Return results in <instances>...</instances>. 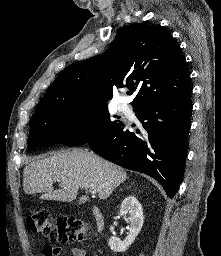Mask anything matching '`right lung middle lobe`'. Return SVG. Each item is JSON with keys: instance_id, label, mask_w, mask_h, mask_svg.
Masks as SVG:
<instances>
[{"instance_id": "obj_1", "label": "right lung middle lobe", "mask_w": 221, "mask_h": 256, "mask_svg": "<svg viewBox=\"0 0 221 256\" xmlns=\"http://www.w3.org/2000/svg\"><path fill=\"white\" fill-rule=\"evenodd\" d=\"M57 102L36 112L30 120L28 148L55 143L81 145L106 132L119 121L113 120L107 103H78L63 106Z\"/></svg>"}]
</instances>
